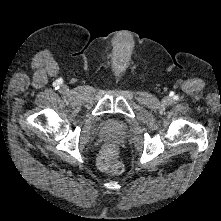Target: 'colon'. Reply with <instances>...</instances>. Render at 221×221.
<instances>
[{"label": "colon", "mask_w": 221, "mask_h": 221, "mask_svg": "<svg viewBox=\"0 0 221 221\" xmlns=\"http://www.w3.org/2000/svg\"><path fill=\"white\" fill-rule=\"evenodd\" d=\"M97 166L104 172H121L123 166L118 157V149L114 146L104 148L98 156Z\"/></svg>", "instance_id": "colon-1"}]
</instances>
